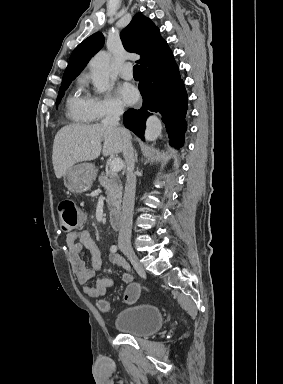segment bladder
<instances>
[{
	"mask_svg": "<svg viewBox=\"0 0 283 384\" xmlns=\"http://www.w3.org/2000/svg\"><path fill=\"white\" fill-rule=\"evenodd\" d=\"M164 324L162 309L153 303H137L119 309L113 327L121 334L136 338L146 337L161 329Z\"/></svg>",
	"mask_w": 283,
	"mask_h": 384,
	"instance_id": "bladder-1",
	"label": "bladder"
}]
</instances>
